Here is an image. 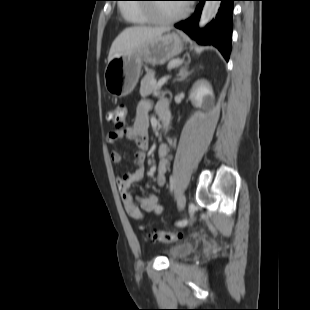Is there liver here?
<instances>
[{"mask_svg":"<svg viewBox=\"0 0 310 310\" xmlns=\"http://www.w3.org/2000/svg\"><path fill=\"white\" fill-rule=\"evenodd\" d=\"M170 31L168 27H130L123 30L113 41L108 62L115 56H127L134 50L151 42L154 38Z\"/></svg>","mask_w":310,"mask_h":310,"instance_id":"6515ba94","label":"liver"}]
</instances>
